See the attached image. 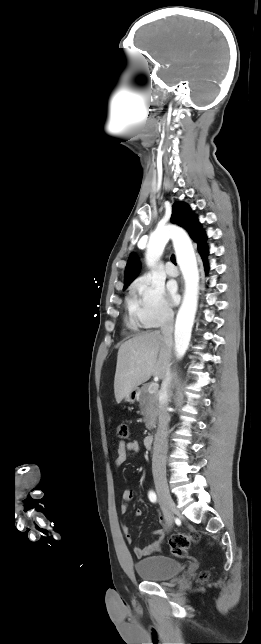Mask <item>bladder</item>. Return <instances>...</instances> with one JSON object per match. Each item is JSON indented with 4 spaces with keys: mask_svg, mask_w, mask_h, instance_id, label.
I'll return each mask as SVG.
<instances>
[{
    "mask_svg": "<svg viewBox=\"0 0 261 644\" xmlns=\"http://www.w3.org/2000/svg\"><path fill=\"white\" fill-rule=\"evenodd\" d=\"M136 574L146 581H164L177 576L182 571V564L171 557L152 555L134 563Z\"/></svg>",
    "mask_w": 261,
    "mask_h": 644,
    "instance_id": "1",
    "label": "bladder"
}]
</instances>
